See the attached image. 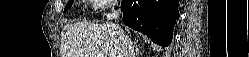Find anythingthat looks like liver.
Returning a JSON list of instances; mask_svg holds the SVG:
<instances>
[{
  "label": "liver",
  "mask_w": 249,
  "mask_h": 57,
  "mask_svg": "<svg viewBox=\"0 0 249 57\" xmlns=\"http://www.w3.org/2000/svg\"><path fill=\"white\" fill-rule=\"evenodd\" d=\"M117 25L77 22L61 33L62 57H121Z\"/></svg>",
  "instance_id": "1"
}]
</instances>
